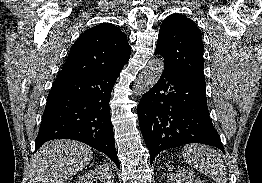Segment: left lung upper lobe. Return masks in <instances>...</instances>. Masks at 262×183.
I'll use <instances>...</instances> for the list:
<instances>
[{
	"label": "left lung upper lobe",
	"mask_w": 262,
	"mask_h": 183,
	"mask_svg": "<svg viewBox=\"0 0 262 183\" xmlns=\"http://www.w3.org/2000/svg\"><path fill=\"white\" fill-rule=\"evenodd\" d=\"M203 51L201 31L191 19L172 14L162 22L155 54L165 66L205 84Z\"/></svg>",
	"instance_id": "obj_1"
}]
</instances>
